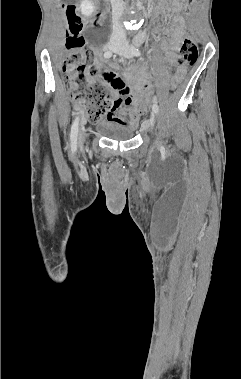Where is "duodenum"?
<instances>
[{"label": "duodenum", "mask_w": 241, "mask_h": 379, "mask_svg": "<svg viewBox=\"0 0 241 379\" xmlns=\"http://www.w3.org/2000/svg\"><path fill=\"white\" fill-rule=\"evenodd\" d=\"M104 4H107L109 0H102Z\"/></svg>", "instance_id": "1"}]
</instances>
